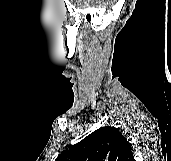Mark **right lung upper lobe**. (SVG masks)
Instances as JSON below:
<instances>
[{"instance_id": "right-lung-upper-lobe-1", "label": "right lung upper lobe", "mask_w": 171, "mask_h": 161, "mask_svg": "<svg viewBox=\"0 0 171 161\" xmlns=\"http://www.w3.org/2000/svg\"><path fill=\"white\" fill-rule=\"evenodd\" d=\"M55 161H135L131 144L115 127H102L63 151Z\"/></svg>"}]
</instances>
